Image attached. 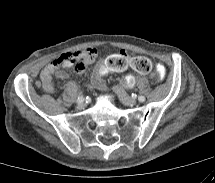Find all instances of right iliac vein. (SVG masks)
<instances>
[{"label": "right iliac vein", "mask_w": 215, "mask_h": 183, "mask_svg": "<svg viewBox=\"0 0 215 183\" xmlns=\"http://www.w3.org/2000/svg\"><path fill=\"white\" fill-rule=\"evenodd\" d=\"M85 107V103H84V100L80 103L77 104V108L78 109H83Z\"/></svg>", "instance_id": "right-iliac-vein-1"}]
</instances>
